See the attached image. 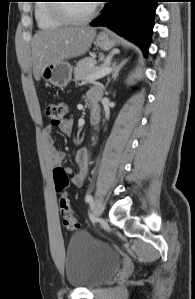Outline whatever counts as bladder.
Here are the masks:
<instances>
[{
  "instance_id": "bladder-1",
  "label": "bladder",
  "mask_w": 195,
  "mask_h": 299,
  "mask_svg": "<svg viewBox=\"0 0 195 299\" xmlns=\"http://www.w3.org/2000/svg\"><path fill=\"white\" fill-rule=\"evenodd\" d=\"M119 265L112 249L87 232L75 233L66 246L65 276L71 286L95 288L110 278Z\"/></svg>"
}]
</instances>
